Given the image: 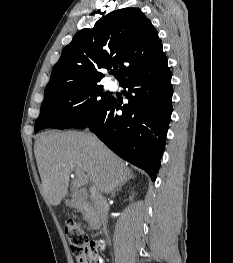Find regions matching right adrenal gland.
<instances>
[{
	"label": "right adrenal gland",
	"mask_w": 233,
	"mask_h": 263,
	"mask_svg": "<svg viewBox=\"0 0 233 263\" xmlns=\"http://www.w3.org/2000/svg\"><path fill=\"white\" fill-rule=\"evenodd\" d=\"M130 179H134V176H131ZM122 186L117 187L116 189L112 190L111 195L114 197L116 192L120 191Z\"/></svg>",
	"instance_id": "obj_1"
}]
</instances>
